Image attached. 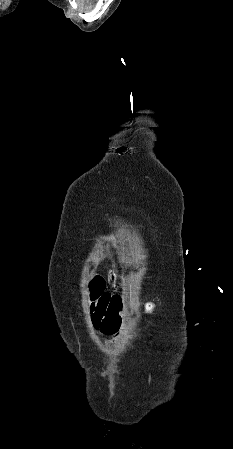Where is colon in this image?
Instances as JSON below:
<instances>
[{
    "label": "colon",
    "mask_w": 233,
    "mask_h": 449,
    "mask_svg": "<svg viewBox=\"0 0 233 449\" xmlns=\"http://www.w3.org/2000/svg\"><path fill=\"white\" fill-rule=\"evenodd\" d=\"M105 280L99 275H93L91 279V311L92 322L95 328H117L125 322L126 308L123 305V297L118 292H105Z\"/></svg>",
    "instance_id": "1"
}]
</instances>
